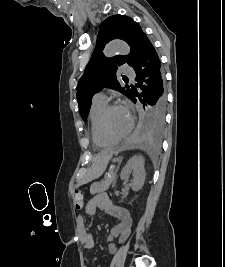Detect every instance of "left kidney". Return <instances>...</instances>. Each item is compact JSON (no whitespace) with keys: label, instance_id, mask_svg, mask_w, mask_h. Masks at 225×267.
<instances>
[{"label":"left kidney","instance_id":"5707ae66","mask_svg":"<svg viewBox=\"0 0 225 267\" xmlns=\"http://www.w3.org/2000/svg\"><path fill=\"white\" fill-rule=\"evenodd\" d=\"M133 174L131 186L133 191H139L142 189L145 182V168L144 159L142 156H134L128 160L126 165L122 168L120 178L127 180L130 174Z\"/></svg>","mask_w":225,"mask_h":267}]
</instances>
